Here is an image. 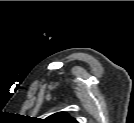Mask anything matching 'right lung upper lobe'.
Here are the masks:
<instances>
[{
  "label": "right lung upper lobe",
  "mask_w": 134,
  "mask_h": 123,
  "mask_svg": "<svg viewBox=\"0 0 134 123\" xmlns=\"http://www.w3.org/2000/svg\"><path fill=\"white\" fill-rule=\"evenodd\" d=\"M46 120L48 122H53V123H77L74 118H71L65 112L55 113V114L49 116Z\"/></svg>",
  "instance_id": "right-lung-upper-lobe-1"
}]
</instances>
